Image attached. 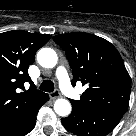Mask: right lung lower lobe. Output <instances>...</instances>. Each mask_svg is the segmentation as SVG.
Here are the masks:
<instances>
[{"mask_svg": "<svg viewBox=\"0 0 136 136\" xmlns=\"http://www.w3.org/2000/svg\"><path fill=\"white\" fill-rule=\"evenodd\" d=\"M49 100V96L48 94L41 100L39 101L38 105L36 106L34 112L32 113L29 121L26 123V125L24 127H22L21 129L11 132L5 136H24L27 133H29L35 126V121H36V114L38 112V109Z\"/></svg>", "mask_w": 136, "mask_h": 136, "instance_id": "1", "label": "right lung lower lobe"}]
</instances>
